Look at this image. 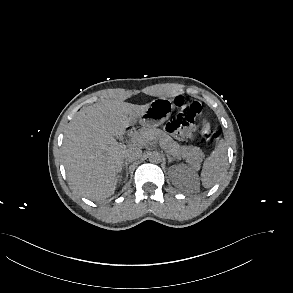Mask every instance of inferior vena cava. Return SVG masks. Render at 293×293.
Masks as SVG:
<instances>
[{
	"mask_svg": "<svg viewBox=\"0 0 293 293\" xmlns=\"http://www.w3.org/2000/svg\"><path fill=\"white\" fill-rule=\"evenodd\" d=\"M142 156V150L138 148H130L124 154L126 162H133Z\"/></svg>",
	"mask_w": 293,
	"mask_h": 293,
	"instance_id": "inferior-vena-cava-1",
	"label": "inferior vena cava"
}]
</instances>
